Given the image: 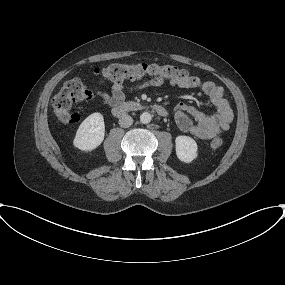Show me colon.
I'll use <instances>...</instances> for the list:
<instances>
[{
	"mask_svg": "<svg viewBox=\"0 0 285 285\" xmlns=\"http://www.w3.org/2000/svg\"><path fill=\"white\" fill-rule=\"evenodd\" d=\"M95 75L101 79H107L112 82H123L124 80L135 79H161L164 81H175L190 77L186 70L173 65L161 64H120L113 63L109 66L96 69ZM92 98L90 89L79 79L67 81L61 90L52 98L51 106L57 120L63 124H75L80 120L77 113L72 111L75 103L87 101ZM224 140L221 137H214L210 143L213 149L222 147Z\"/></svg>",
	"mask_w": 285,
	"mask_h": 285,
	"instance_id": "colon-1",
	"label": "colon"
}]
</instances>
